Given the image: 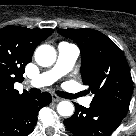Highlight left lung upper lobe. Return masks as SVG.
Returning <instances> with one entry per match:
<instances>
[{"label": "left lung upper lobe", "mask_w": 136, "mask_h": 136, "mask_svg": "<svg viewBox=\"0 0 136 136\" xmlns=\"http://www.w3.org/2000/svg\"><path fill=\"white\" fill-rule=\"evenodd\" d=\"M58 32L79 45L83 83L94 94L92 101L127 110L133 81L127 61L118 46L93 29H60Z\"/></svg>", "instance_id": "obj_1"}]
</instances>
